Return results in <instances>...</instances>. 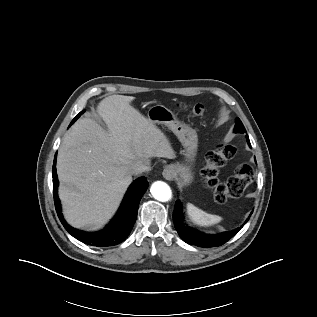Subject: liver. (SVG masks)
Segmentation results:
<instances>
[{
	"label": "liver",
	"mask_w": 317,
	"mask_h": 317,
	"mask_svg": "<svg viewBox=\"0 0 317 317\" xmlns=\"http://www.w3.org/2000/svg\"><path fill=\"white\" fill-rule=\"evenodd\" d=\"M133 96L104 98L94 120H78L64 137L57 157L59 197L69 224L98 229L116 212L132 182L130 170L153 157L176 158L167 136L131 105Z\"/></svg>",
	"instance_id": "6515ba94"
}]
</instances>
